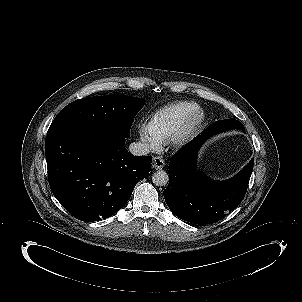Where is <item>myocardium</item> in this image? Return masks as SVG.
Here are the masks:
<instances>
[{
    "label": "myocardium",
    "mask_w": 302,
    "mask_h": 302,
    "mask_svg": "<svg viewBox=\"0 0 302 302\" xmlns=\"http://www.w3.org/2000/svg\"><path fill=\"white\" fill-rule=\"evenodd\" d=\"M205 112L198 109L191 113L168 139L171 148L179 149L187 145L205 122Z\"/></svg>",
    "instance_id": "obj_1"
}]
</instances>
